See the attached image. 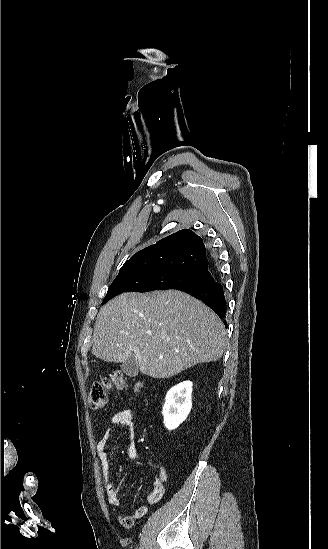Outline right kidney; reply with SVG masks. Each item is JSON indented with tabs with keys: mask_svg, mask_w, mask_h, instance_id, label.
Returning <instances> with one entry per match:
<instances>
[{
	"mask_svg": "<svg viewBox=\"0 0 328 549\" xmlns=\"http://www.w3.org/2000/svg\"><path fill=\"white\" fill-rule=\"evenodd\" d=\"M191 393V381H183V383L175 385V387H172V389L168 391L162 413L164 425L169 431L177 429L178 425L187 419L192 409Z\"/></svg>",
	"mask_w": 328,
	"mask_h": 549,
	"instance_id": "right-kidney-1",
	"label": "right kidney"
}]
</instances>
